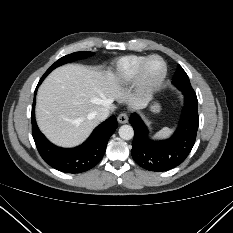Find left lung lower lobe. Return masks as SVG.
Listing matches in <instances>:
<instances>
[{"instance_id":"1","label":"left lung lower lobe","mask_w":233,"mask_h":233,"mask_svg":"<svg viewBox=\"0 0 233 233\" xmlns=\"http://www.w3.org/2000/svg\"><path fill=\"white\" fill-rule=\"evenodd\" d=\"M185 104L175 133L167 140L153 141L138 114L129 121L134 129L131 154L134 161L149 171H166L180 165L190 153L199 125L198 100L194 90L182 91Z\"/></svg>"}]
</instances>
